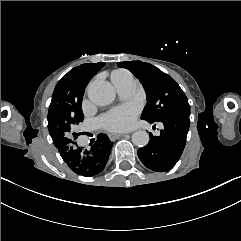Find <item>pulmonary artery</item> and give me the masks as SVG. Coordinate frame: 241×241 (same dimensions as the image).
I'll return each mask as SVG.
<instances>
[{"mask_svg": "<svg viewBox=\"0 0 241 241\" xmlns=\"http://www.w3.org/2000/svg\"><path fill=\"white\" fill-rule=\"evenodd\" d=\"M113 81V76H112ZM117 94L120 100L126 101L130 98L133 91V79L132 76L126 72L123 78L117 82H114ZM105 113L109 117H114L118 113V108L114 104H109L105 108Z\"/></svg>", "mask_w": 241, "mask_h": 241, "instance_id": "obj_1", "label": "pulmonary artery"}]
</instances>
